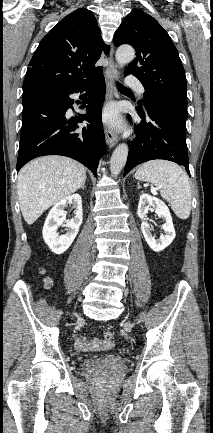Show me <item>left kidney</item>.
Here are the masks:
<instances>
[{"mask_svg":"<svg viewBox=\"0 0 213 433\" xmlns=\"http://www.w3.org/2000/svg\"><path fill=\"white\" fill-rule=\"evenodd\" d=\"M150 207L155 208V212L159 217H164L166 219V223L162 226L165 234L161 235L158 240H156L152 235L151 227L145 221V217L147 216ZM137 214L142 220L141 230L143 236L153 251L160 252L172 243L176 236L175 229L170 211L163 201L149 194H142L139 199Z\"/></svg>","mask_w":213,"mask_h":433,"instance_id":"obj_1","label":"left kidney"}]
</instances>
